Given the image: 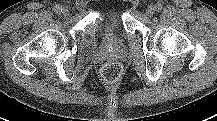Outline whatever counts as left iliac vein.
<instances>
[{"instance_id": "1", "label": "left iliac vein", "mask_w": 217, "mask_h": 121, "mask_svg": "<svg viewBox=\"0 0 217 121\" xmlns=\"http://www.w3.org/2000/svg\"><path fill=\"white\" fill-rule=\"evenodd\" d=\"M154 12H155V8L151 5V6H149L148 8H147V10H146V14L148 15V16H152L153 14H154Z\"/></svg>"}]
</instances>
